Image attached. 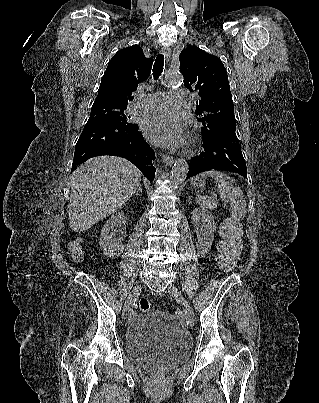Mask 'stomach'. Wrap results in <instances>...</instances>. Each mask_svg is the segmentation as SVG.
Listing matches in <instances>:
<instances>
[{
    "instance_id": "1",
    "label": "stomach",
    "mask_w": 319,
    "mask_h": 403,
    "mask_svg": "<svg viewBox=\"0 0 319 403\" xmlns=\"http://www.w3.org/2000/svg\"><path fill=\"white\" fill-rule=\"evenodd\" d=\"M192 183H194V180L192 181ZM194 184L196 187H202V186H204V180H197V181H195Z\"/></svg>"
}]
</instances>
